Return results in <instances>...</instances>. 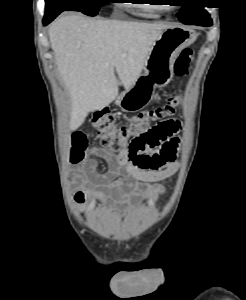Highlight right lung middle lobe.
I'll return each instance as SVG.
<instances>
[{
	"mask_svg": "<svg viewBox=\"0 0 246 300\" xmlns=\"http://www.w3.org/2000/svg\"><path fill=\"white\" fill-rule=\"evenodd\" d=\"M111 0H45V16L73 10L80 11L89 16H95L101 5ZM44 16V17H45Z\"/></svg>",
	"mask_w": 246,
	"mask_h": 300,
	"instance_id": "dd1d6c3e",
	"label": "right lung middle lobe"
}]
</instances>
